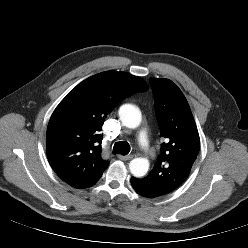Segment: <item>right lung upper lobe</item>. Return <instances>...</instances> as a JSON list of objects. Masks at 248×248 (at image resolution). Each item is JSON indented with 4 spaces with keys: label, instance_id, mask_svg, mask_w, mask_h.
I'll return each instance as SVG.
<instances>
[{
    "label": "right lung upper lobe",
    "instance_id": "right-lung-upper-lobe-1",
    "mask_svg": "<svg viewBox=\"0 0 248 248\" xmlns=\"http://www.w3.org/2000/svg\"><path fill=\"white\" fill-rule=\"evenodd\" d=\"M147 90L140 77L117 71L96 74L77 85L48 124L47 157L55 173L77 189L94 185L109 165L101 157L105 117L123 99Z\"/></svg>",
    "mask_w": 248,
    "mask_h": 248
}]
</instances>
